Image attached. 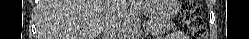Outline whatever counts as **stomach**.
<instances>
[{
    "label": "stomach",
    "mask_w": 249,
    "mask_h": 39,
    "mask_svg": "<svg viewBox=\"0 0 249 39\" xmlns=\"http://www.w3.org/2000/svg\"><path fill=\"white\" fill-rule=\"evenodd\" d=\"M141 11L153 20L168 21L177 15L179 6L176 0H144Z\"/></svg>",
    "instance_id": "obj_1"
}]
</instances>
